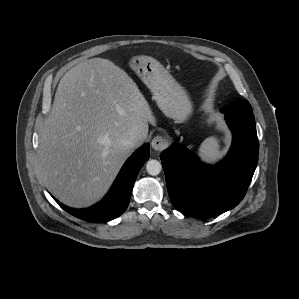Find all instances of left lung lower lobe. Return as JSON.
I'll return each mask as SVG.
<instances>
[{
	"mask_svg": "<svg viewBox=\"0 0 299 299\" xmlns=\"http://www.w3.org/2000/svg\"><path fill=\"white\" fill-rule=\"evenodd\" d=\"M232 146L215 166L202 163L173 145L161 154L169 197L177 210L210 218L234 208L244 198L258 162V138L252 112H226Z\"/></svg>",
	"mask_w": 299,
	"mask_h": 299,
	"instance_id": "1",
	"label": "left lung lower lobe"
}]
</instances>
